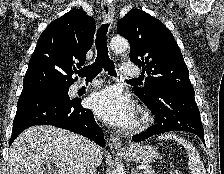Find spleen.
<instances>
[{
	"label": "spleen",
	"mask_w": 224,
	"mask_h": 174,
	"mask_svg": "<svg viewBox=\"0 0 224 174\" xmlns=\"http://www.w3.org/2000/svg\"><path fill=\"white\" fill-rule=\"evenodd\" d=\"M158 139H174L179 144H181L188 154V168L191 174H206L203 162L201 161L200 155L195 149V147L187 142L185 139L178 137L172 133L163 134L158 137Z\"/></svg>",
	"instance_id": "obj_1"
}]
</instances>
